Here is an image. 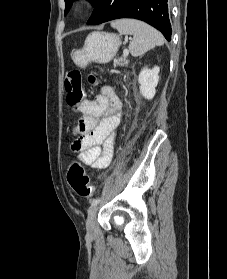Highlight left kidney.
Wrapping results in <instances>:
<instances>
[{"label": "left kidney", "instance_id": "1", "mask_svg": "<svg viewBox=\"0 0 227 279\" xmlns=\"http://www.w3.org/2000/svg\"><path fill=\"white\" fill-rule=\"evenodd\" d=\"M159 67L155 66L153 69H148L144 67L138 77V82L140 84V93L146 99H152L156 93V86L159 80Z\"/></svg>", "mask_w": 227, "mask_h": 279}]
</instances>
